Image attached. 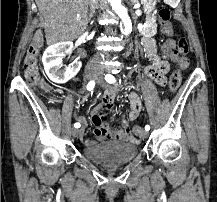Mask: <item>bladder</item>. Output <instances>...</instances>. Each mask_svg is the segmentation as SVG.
<instances>
[{
    "label": "bladder",
    "instance_id": "31cf9c89",
    "mask_svg": "<svg viewBox=\"0 0 217 202\" xmlns=\"http://www.w3.org/2000/svg\"><path fill=\"white\" fill-rule=\"evenodd\" d=\"M86 158L105 166L128 163L138 155L137 144L126 142H105L84 148Z\"/></svg>",
    "mask_w": 217,
    "mask_h": 202
}]
</instances>
